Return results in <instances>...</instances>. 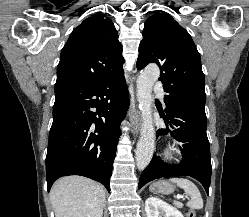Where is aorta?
<instances>
[{
	"instance_id": "762f6f07",
	"label": "aorta",
	"mask_w": 249,
	"mask_h": 217,
	"mask_svg": "<svg viewBox=\"0 0 249 217\" xmlns=\"http://www.w3.org/2000/svg\"><path fill=\"white\" fill-rule=\"evenodd\" d=\"M160 71L156 64H150L140 73L137 79V99L143 119L141 136L135 151V159L139 170L150 163L155 149V133L152 121V88L159 78Z\"/></svg>"
}]
</instances>
